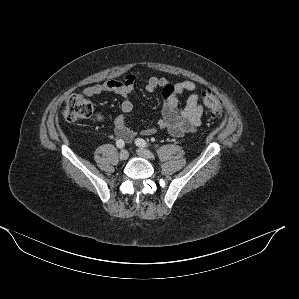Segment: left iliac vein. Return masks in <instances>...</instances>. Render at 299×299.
Wrapping results in <instances>:
<instances>
[{"label":"left iliac vein","instance_id":"4c4485c4","mask_svg":"<svg viewBox=\"0 0 299 299\" xmlns=\"http://www.w3.org/2000/svg\"><path fill=\"white\" fill-rule=\"evenodd\" d=\"M136 152L140 157H143V158H146V159H152L153 158V154L147 149L139 148V149H137Z\"/></svg>","mask_w":299,"mask_h":299}]
</instances>
